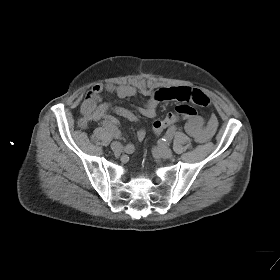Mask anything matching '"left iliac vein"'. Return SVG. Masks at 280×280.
Listing matches in <instances>:
<instances>
[{
    "mask_svg": "<svg viewBox=\"0 0 280 280\" xmlns=\"http://www.w3.org/2000/svg\"><path fill=\"white\" fill-rule=\"evenodd\" d=\"M157 154L164 159H168L172 157V151L170 148L167 147H158L156 149Z\"/></svg>",
    "mask_w": 280,
    "mask_h": 280,
    "instance_id": "4c4485c4",
    "label": "left iliac vein"
}]
</instances>
